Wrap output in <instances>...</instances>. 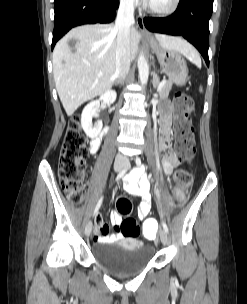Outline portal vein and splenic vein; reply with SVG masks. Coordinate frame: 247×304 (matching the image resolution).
Here are the masks:
<instances>
[{"label":"portal vein and splenic vein","mask_w":247,"mask_h":304,"mask_svg":"<svg viewBox=\"0 0 247 304\" xmlns=\"http://www.w3.org/2000/svg\"><path fill=\"white\" fill-rule=\"evenodd\" d=\"M166 80H163L160 84H159V88L158 89H161V87L165 84Z\"/></svg>","instance_id":"obj_1"}]
</instances>
